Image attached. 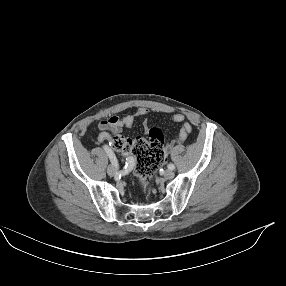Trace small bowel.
Here are the masks:
<instances>
[{
  "instance_id": "1",
  "label": "small bowel",
  "mask_w": 286,
  "mask_h": 286,
  "mask_svg": "<svg viewBox=\"0 0 286 286\" xmlns=\"http://www.w3.org/2000/svg\"><path fill=\"white\" fill-rule=\"evenodd\" d=\"M148 113L146 108L140 107L135 114H128L123 117L112 115L101 120L98 124L100 133L97 136L98 142H109L113 135L120 133L124 128H132L135 124L136 117H144ZM170 120L176 123H183L176 139L167 145L170 150L174 145L184 142L192 131V127L188 122H185L186 116L182 113H176L170 116ZM144 131L148 130V124L143 123Z\"/></svg>"
}]
</instances>
